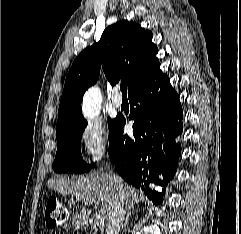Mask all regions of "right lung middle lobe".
Instances as JSON below:
<instances>
[{
    "label": "right lung middle lobe",
    "instance_id": "dd1d6c3e",
    "mask_svg": "<svg viewBox=\"0 0 241 234\" xmlns=\"http://www.w3.org/2000/svg\"><path fill=\"white\" fill-rule=\"evenodd\" d=\"M109 135L114 127L115 119H108ZM87 126V121L83 120L74 126L64 128L56 132L57 153L52 168L58 173H84L91 170L93 165H88L83 161L80 147L81 137Z\"/></svg>",
    "mask_w": 241,
    "mask_h": 234
}]
</instances>
